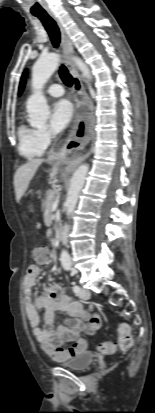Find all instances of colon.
Masks as SVG:
<instances>
[{"instance_id": "5ec220e1", "label": "colon", "mask_w": 155, "mask_h": 413, "mask_svg": "<svg viewBox=\"0 0 155 413\" xmlns=\"http://www.w3.org/2000/svg\"><path fill=\"white\" fill-rule=\"evenodd\" d=\"M33 258L39 262L43 263L47 260L48 253L47 250L43 247H38L33 250ZM119 347L121 350L127 351L133 345V336L130 331V327L127 324H120L119 325ZM74 347H69L67 349H60L54 346H48L47 351L51 354L52 357L55 359H59L62 352H71L73 351ZM100 349L104 353H111L114 351V347L111 344L105 343L100 346Z\"/></svg>"}]
</instances>
